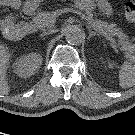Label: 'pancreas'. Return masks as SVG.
<instances>
[{
    "label": "pancreas",
    "mask_w": 135,
    "mask_h": 135,
    "mask_svg": "<svg viewBox=\"0 0 135 135\" xmlns=\"http://www.w3.org/2000/svg\"><path fill=\"white\" fill-rule=\"evenodd\" d=\"M80 10H84L86 14V20L89 24L99 32H108L112 35L118 36L119 44L127 51L133 52L135 50V45H131L128 41L127 36L122 33L119 28H116L115 24H108L106 22H102L98 19H93V15L90 12V9L84 8L82 5H77ZM57 16V12H39L32 20L34 26L38 29H45L53 24L49 22V19L53 16Z\"/></svg>",
    "instance_id": "pancreas-1"
}]
</instances>
